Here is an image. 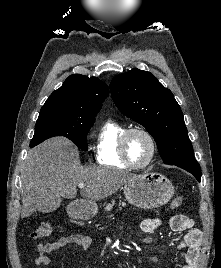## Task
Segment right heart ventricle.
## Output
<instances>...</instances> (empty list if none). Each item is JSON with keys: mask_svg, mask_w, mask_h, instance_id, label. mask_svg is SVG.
<instances>
[{"mask_svg": "<svg viewBox=\"0 0 221 268\" xmlns=\"http://www.w3.org/2000/svg\"><path fill=\"white\" fill-rule=\"evenodd\" d=\"M125 130L126 127L115 120H107L102 125L95 145L96 161L99 164L119 169L127 168L119 153V140Z\"/></svg>", "mask_w": 221, "mask_h": 268, "instance_id": "obj_1", "label": "right heart ventricle"}]
</instances>
